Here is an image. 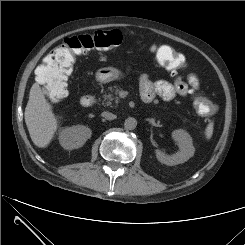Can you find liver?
Returning <instances> with one entry per match:
<instances>
[{"label": "liver", "mask_w": 245, "mask_h": 245, "mask_svg": "<svg viewBox=\"0 0 245 245\" xmlns=\"http://www.w3.org/2000/svg\"><path fill=\"white\" fill-rule=\"evenodd\" d=\"M24 117L33 143L39 148L48 146L57 130V119L38 83L30 89Z\"/></svg>", "instance_id": "liver-1"}]
</instances>
